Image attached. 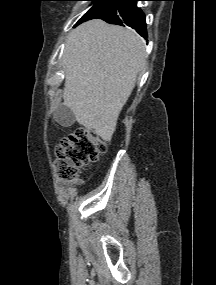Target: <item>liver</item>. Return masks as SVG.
<instances>
[{"instance_id":"obj_1","label":"liver","mask_w":216,"mask_h":285,"mask_svg":"<svg viewBox=\"0 0 216 285\" xmlns=\"http://www.w3.org/2000/svg\"><path fill=\"white\" fill-rule=\"evenodd\" d=\"M64 104L77 122L110 141L119 114L145 67V46L135 31L102 20L73 30L62 57Z\"/></svg>"}]
</instances>
